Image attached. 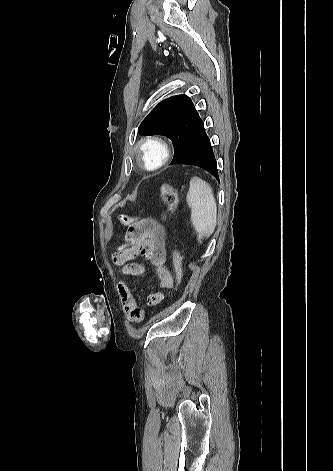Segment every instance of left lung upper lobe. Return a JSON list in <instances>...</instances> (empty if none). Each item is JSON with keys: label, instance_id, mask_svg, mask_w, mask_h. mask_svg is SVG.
I'll use <instances>...</instances> for the list:
<instances>
[{"label": "left lung upper lobe", "instance_id": "5c2ea615", "mask_svg": "<svg viewBox=\"0 0 333 471\" xmlns=\"http://www.w3.org/2000/svg\"><path fill=\"white\" fill-rule=\"evenodd\" d=\"M202 120L192 101L186 95H178L159 103L138 128L141 135H164L174 145L176 156L191 140Z\"/></svg>", "mask_w": 333, "mask_h": 471}]
</instances>
